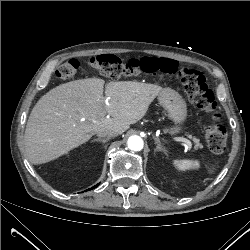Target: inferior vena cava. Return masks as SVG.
Segmentation results:
<instances>
[{
    "label": "inferior vena cava",
    "instance_id": "obj_1",
    "mask_svg": "<svg viewBox=\"0 0 250 250\" xmlns=\"http://www.w3.org/2000/svg\"><path fill=\"white\" fill-rule=\"evenodd\" d=\"M98 137L103 138V137H116L118 135V132L116 130H105L101 129L97 132Z\"/></svg>",
    "mask_w": 250,
    "mask_h": 250
}]
</instances>
